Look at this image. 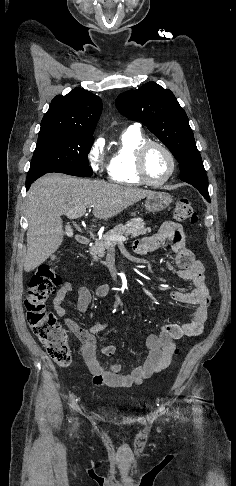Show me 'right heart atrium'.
Segmentation results:
<instances>
[{
  "mask_svg": "<svg viewBox=\"0 0 236 486\" xmlns=\"http://www.w3.org/2000/svg\"><path fill=\"white\" fill-rule=\"evenodd\" d=\"M87 157L92 170L97 174H102L108 169L105 162L104 140L102 138H96L92 142Z\"/></svg>",
  "mask_w": 236,
  "mask_h": 486,
  "instance_id": "1",
  "label": "right heart atrium"
}]
</instances>
